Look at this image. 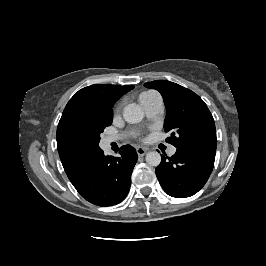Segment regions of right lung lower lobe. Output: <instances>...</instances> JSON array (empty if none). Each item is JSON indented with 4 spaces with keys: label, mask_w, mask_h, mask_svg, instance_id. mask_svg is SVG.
<instances>
[{
    "label": "right lung lower lobe",
    "mask_w": 266,
    "mask_h": 266,
    "mask_svg": "<svg viewBox=\"0 0 266 266\" xmlns=\"http://www.w3.org/2000/svg\"><path fill=\"white\" fill-rule=\"evenodd\" d=\"M119 154V157L105 156L100 149L83 177L74 184L78 193L90 203L112 206L127 196L138 156L130 145L122 146Z\"/></svg>",
    "instance_id": "obj_1"
}]
</instances>
